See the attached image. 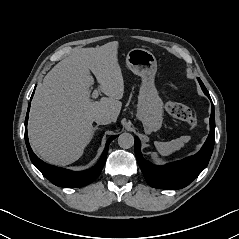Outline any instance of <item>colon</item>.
I'll return each mask as SVG.
<instances>
[{
    "label": "colon",
    "mask_w": 239,
    "mask_h": 239,
    "mask_svg": "<svg viewBox=\"0 0 239 239\" xmlns=\"http://www.w3.org/2000/svg\"><path fill=\"white\" fill-rule=\"evenodd\" d=\"M165 108L169 114L185 122L191 128L197 127V119L189 107L171 100H167L165 103Z\"/></svg>",
    "instance_id": "obj_1"
}]
</instances>
